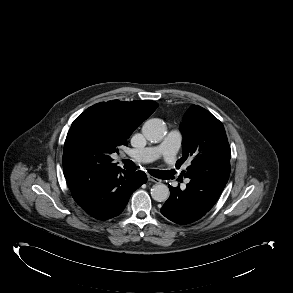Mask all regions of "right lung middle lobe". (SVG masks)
Listing matches in <instances>:
<instances>
[{"instance_id": "1", "label": "right lung middle lobe", "mask_w": 293, "mask_h": 293, "mask_svg": "<svg viewBox=\"0 0 293 293\" xmlns=\"http://www.w3.org/2000/svg\"><path fill=\"white\" fill-rule=\"evenodd\" d=\"M80 164L81 167L86 170L90 167L100 164V161L94 155L84 154L80 156Z\"/></svg>"}]
</instances>
